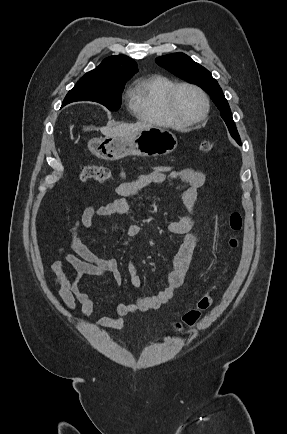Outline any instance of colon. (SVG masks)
<instances>
[{
  "mask_svg": "<svg viewBox=\"0 0 287 434\" xmlns=\"http://www.w3.org/2000/svg\"><path fill=\"white\" fill-rule=\"evenodd\" d=\"M214 144L211 141H203L199 145V152L206 154L212 152ZM82 181L95 180L99 183H106L113 178V170L105 165H83L80 171ZM229 226L233 235L229 238L228 245L235 250L239 247V239L237 234L241 232L243 227V217L239 211H233L229 216ZM213 299L210 295L201 298L197 307L187 312L182 320L176 323L177 331H185L187 328L193 327L212 305Z\"/></svg>",
  "mask_w": 287,
  "mask_h": 434,
  "instance_id": "1",
  "label": "colon"
}]
</instances>
